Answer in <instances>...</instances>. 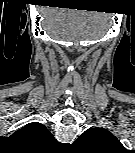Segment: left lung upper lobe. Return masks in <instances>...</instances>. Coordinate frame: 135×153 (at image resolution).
<instances>
[{
    "label": "left lung upper lobe",
    "instance_id": "5c2ea615",
    "mask_svg": "<svg viewBox=\"0 0 135 153\" xmlns=\"http://www.w3.org/2000/svg\"><path fill=\"white\" fill-rule=\"evenodd\" d=\"M74 144L89 153H121L125 150L113 134L98 127L86 130Z\"/></svg>",
    "mask_w": 135,
    "mask_h": 153
}]
</instances>
